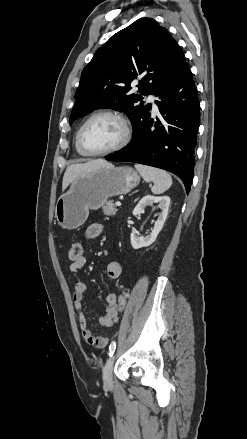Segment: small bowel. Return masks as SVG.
I'll return each instance as SVG.
<instances>
[{
	"mask_svg": "<svg viewBox=\"0 0 247 439\" xmlns=\"http://www.w3.org/2000/svg\"><path fill=\"white\" fill-rule=\"evenodd\" d=\"M104 231V226L101 223H93L86 229V237L88 239L98 238ZM87 262V257L82 255L80 258L72 262L70 265V271L77 273L81 270ZM107 276L110 279H117L121 274V266L118 262H110L107 265ZM87 289V286L83 282H78L74 287L73 292V304L75 309L79 312V323L81 328V334L85 342L96 348H105L109 342L107 336H95L88 329L87 320L83 314V296ZM117 300L118 297L115 293L110 292L106 295V312L99 318V324L103 327H111L117 318Z\"/></svg>",
	"mask_w": 247,
	"mask_h": 439,
	"instance_id": "c3829d8e",
	"label": "small bowel"
}]
</instances>
